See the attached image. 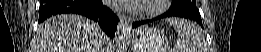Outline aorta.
Masks as SVG:
<instances>
[{"label": "aorta", "instance_id": "obj_1", "mask_svg": "<svg viewBox=\"0 0 261 52\" xmlns=\"http://www.w3.org/2000/svg\"><path fill=\"white\" fill-rule=\"evenodd\" d=\"M119 52H122V49H121V48H119Z\"/></svg>", "mask_w": 261, "mask_h": 52}]
</instances>
